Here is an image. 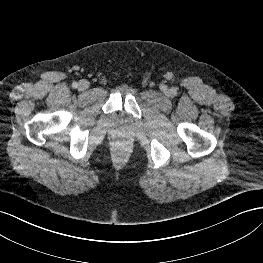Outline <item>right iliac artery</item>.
I'll return each mask as SVG.
<instances>
[{"label":"right iliac artery","mask_w":263,"mask_h":263,"mask_svg":"<svg viewBox=\"0 0 263 263\" xmlns=\"http://www.w3.org/2000/svg\"><path fill=\"white\" fill-rule=\"evenodd\" d=\"M72 87H73V88H77V87H78V83H77V82H73V83H72Z\"/></svg>","instance_id":"82829eb1"}]
</instances>
